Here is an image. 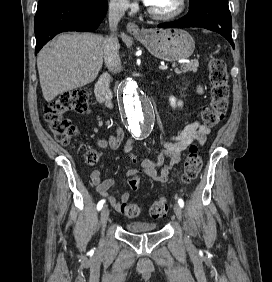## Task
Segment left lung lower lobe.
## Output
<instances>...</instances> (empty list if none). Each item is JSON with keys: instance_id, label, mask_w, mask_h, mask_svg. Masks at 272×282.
Wrapping results in <instances>:
<instances>
[{"instance_id": "0a47b994", "label": "left lung lower lobe", "mask_w": 272, "mask_h": 282, "mask_svg": "<svg viewBox=\"0 0 272 282\" xmlns=\"http://www.w3.org/2000/svg\"><path fill=\"white\" fill-rule=\"evenodd\" d=\"M160 28L201 27L220 33L233 46L228 0H190L189 12L180 20L159 24Z\"/></svg>"}]
</instances>
